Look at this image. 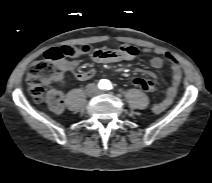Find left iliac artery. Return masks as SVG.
<instances>
[{"mask_svg": "<svg viewBox=\"0 0 212 183\" xmlns=\"http://www.w3.org/2000/svg\"><path fill=\"white\" fill-rule=\"evenodd\" d=\"M113 88V85H112V83L110 82V81H106V89L107 90H110V89H112Z\"/></svg>", "mask_w": 212, "mask_h": 183, "instance_id": "44dca946", "label": "left iliac artery"}]
</instances>
